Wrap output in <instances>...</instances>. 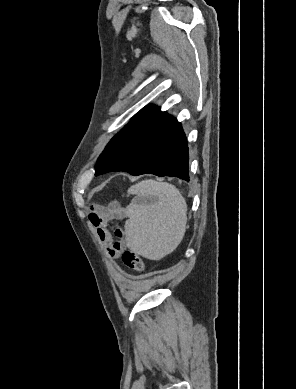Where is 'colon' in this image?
<instances>
[{
  "label": "colon",
  "mask_w": 296,
  "mask_h": 389,
  "mask_svg": "<svg viewBox=\"0 0 296 389\" xmlns=\"http://www.w3.org/2000/svg\"><path fill=\"white\" fill-rule=\"evenodd\" d=\"M122 261L124 265L131 270L139 273L145 272V264L142 258L136 252L126 250L122 254Z\"/></svg>",
  "instance_id": "5ec220e1"
}]
</instances>
